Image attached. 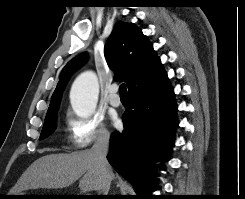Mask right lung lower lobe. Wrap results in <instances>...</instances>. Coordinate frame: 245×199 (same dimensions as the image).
Wrapping results in <instances>:
<instances>
[{
  "mask_svg": "<svg viewBox=\"0 0 245 199\" xmlns=\"http://www.w3.org/2000/svg\"><path fill=\"white\" fill-rule=\"evenodd\" d=\"M128 97L122 116L124 130L111 136L107 159L139 196L146 197L153 160L166 153L172 143L177 106L168 78Z\"/></svg>",
  "mask_w": 245,
  "mask_h": 199,
  "instance_id": "obj_1",
  "label": "right lung lower lobe"
}]
</instances>
